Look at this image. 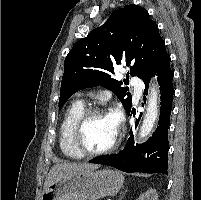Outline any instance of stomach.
Segmentation results:
<instances>
[{
    "label": "stomach",
    "mask_w": 201,
    "mask_h": 200,
    "mask_svg": "<svg viewBox=\"0 0 201 200\" xmlns=\"http://www.w3.org/2000/svg\"><path fill=\"white\" fill-rule=\"evenodd\" d=\"M123 181L122 175L111 169L78 172L51 184L40 200H98L116 194Z\"/></svg>",
    "instance_id": "1"
}]
</instances>
